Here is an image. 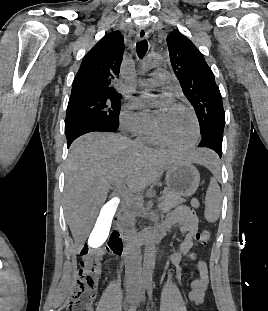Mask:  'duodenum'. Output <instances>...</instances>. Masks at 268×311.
<instances>
[{"instance_id":"obj_1","label":"duodenum","mask_w":268,"mask_h":311,"mask_svg":"<svg viewBox=\"0 0 268 311\" xmlns=\"http://www.w3.org/2000/svg\"><path fill=\"white\" fill-rule=\"evenodd\" d=\"M117 222L118 219L114 218V228L111 231L107 244L110 251L119 256L126 253L131 247H139L142 244L160 240L164 235L162 230L155 229L148 235L138 236L134 240H129L125 238L117 228Z\"/></svg>"}]
</instances>
